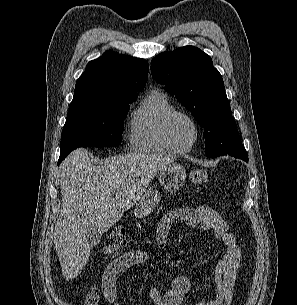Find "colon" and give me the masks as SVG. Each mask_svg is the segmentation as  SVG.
<instances>
[{"label": "colon", "mask_w": 297, "mask_h": 305, "mask_svg": "<svg viewBox=\"0 0 297 305\" xmlns=\"http://www.w3.org/2000/svg\"><path fill=\"white\" fill-rule=\"evenodd\" d=\"M208 180V173L204 169H195L190 174V181L194 185H203ZM128 239L123 228H115L110 231L105 243V255L109 259L116 258L127 248Z\"/></svg>", "instance_id": "colon-1"}]
</instances>
